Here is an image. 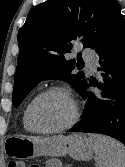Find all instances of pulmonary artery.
<instances>
[{"mask_svg": "<svg viewBox=\"0 0 125 167\" xmlns=\"http://www.w3.org/2000/svg\"><path fill=\"white\" fill-rule=\"evenodd\" d=\"M84 56H85V59H86L87 63L92 66V69H94V63L97 59L96 55L93 54L92 52L86 51L84 53Z\"/></svg>", "mask_w": 125, "mask_h": 167, "instance_id": "pulmonary-artery-1", "label": "pulmonary artery"}]
</instances>
